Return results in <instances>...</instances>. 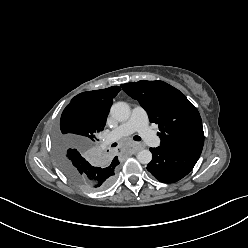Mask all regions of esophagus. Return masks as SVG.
<instances>
[{
    "label": "esophagus",
    "instance_id": "esophagus-1",
    "mask_svg": "<svg viewBox=\"0 0 248 248\" xmlns=\"http://www.w3.org/2000/svg\"><path fill=\"white\" fill-rule=\"evenodd\" d=\"M140 149H142V146H141V145H135V146L133 147L132 151H133L134 153H136V152H138Z\"/></svg>",
    "mask_w": 248,
    "mask_h": 248
}]
</instances>
